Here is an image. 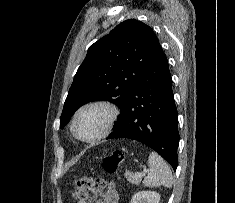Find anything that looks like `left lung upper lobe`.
Here are the masks:
<instances>
[{
    "label": "left lung upper lobe",
    "mask_w": 235,
    "mask_h": 203,
    "mask_svg": "<svg viewBox=\"0 0 235 203\" xmlns=\"http://www.w3.org/2000/svg\"><path fill=\"white\" fill-rule=\"evenodd\" d=\"M159 45L153 30L135 19L120 23L92 44L69 89L60 128L91 101H110L121 115Z\"/></svg>",
    "instance_id": "1"
}]
</instances>
